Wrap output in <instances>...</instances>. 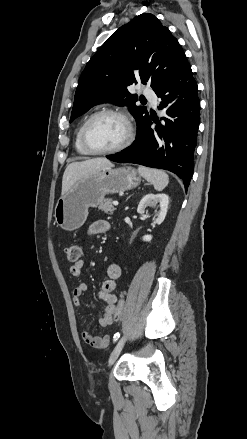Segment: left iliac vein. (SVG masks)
I'll return each mask as SVG.
<instances>
[{
	"label": "left iliac vein",
	"mask_w": 247,
	"mask_h": 439,
	"mask_svg": "<svg viewBox=\"0 0 247 439\" xmlns=\"http://www.w3.org/2000/svg\"><path fill=\"white\" fill-rule=\"evenodd\" d=\"M126 342V336H123L118 343L116 344L114 350L112 351L110 358H109V366L113 365L116 359L118 358L124 344Z\"/></svg>",
	"instance_id": "1"
}]
</instances>
